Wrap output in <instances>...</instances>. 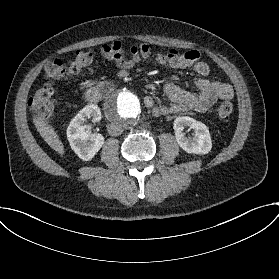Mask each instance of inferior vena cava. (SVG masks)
<instances>
[{"label":"inferior vena cava","instance_id":"1","mask_svg":"<svg viewBox=\"0 0 279 279\" xmlns=\"http://www.w3.org/2000/svg\"><path fill=\"white\" fill-rule=\"evenodd\" d=\"M107 130L111 136H119L123 133V128L118 123H110L107 125Z\"/></svg>","mask_w":279,"mask_h":279}]
</instances>
